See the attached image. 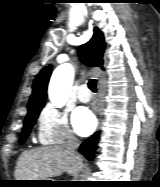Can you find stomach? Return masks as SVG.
Instances as JSON below:
<instances>
[{"label":"stomach","instance_id":"obj_1","mask_svg":"<svg viewBox=\"0 0 160 187\" xmlns=\"http://www.w3.org/2000/svg\"><path fill=\"white\" fill-rule=\"evenodd\" d=\"M43 181H50V180H37V182H33V186H47L48 182H43Z\"/></svg>","mask_w":160,"mask_h":187}]
</instances>
